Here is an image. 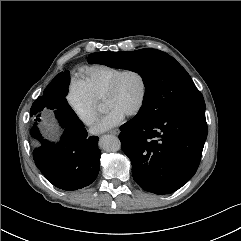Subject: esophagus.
<instances>
[{
  "label": "esophagus",
  "mask_w": 241,
  "mask_h": 241,
  "mask_svg": "<svg viewBox=\"0 0 241 241\" xmlns=\"http://www.w3.org/2000/svg\"><path fill=\"white\" fill-rule=\"evenodd\" d=\"M109 133L113 134V135H117L119 133V130L118 129H114V130H111Z\"/></svg>",
  "instance_id": "obj_1"
}]
</instances>
